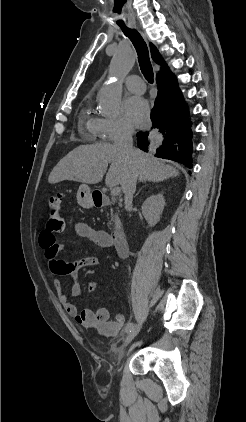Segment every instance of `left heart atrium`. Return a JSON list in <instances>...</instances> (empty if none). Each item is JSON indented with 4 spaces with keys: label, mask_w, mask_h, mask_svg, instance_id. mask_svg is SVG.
Segmentation results:
<instances>
[{
    "label": "left heart atrium",
    "mask_w": 246,
    "mask_h": 422,
    "mask_svg": "<svg viewBox=\"0 0 246 422\" xmlns=\"http://www.w3.org/2000/svg\"><path fill=\"white\" fill-rule=\"evenodd\" d=\"M126 120L135 127H143L149 121V106L140 96H130L124 101Z\"/></svg>",
    "instance_id": "left-heart-atrium-1"
}]
</instances>
